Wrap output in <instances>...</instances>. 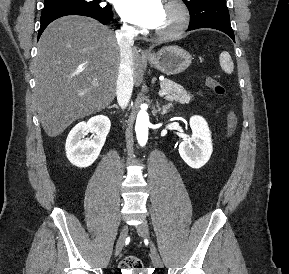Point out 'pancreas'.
Instances as JSON below:
<instances>
[{"instance_id": "obj_1", "label": "pancreas", "mask_w": 289, "mask_h": 274, "mask_svg": "<svg viewBox=\"0 0 289 274\" xmlns=\"http://www.w3.org/2000/svg\"><path fill=\"white\" fill-rule=\"evenodd\" d=\"M161 90L166 92L165 99L168 101H178L181 104H188L192 96L183 88V86L169 80L164 79L160 83Z\"/></svg>"}]
</instances>
